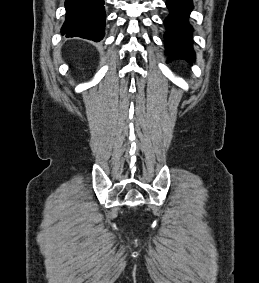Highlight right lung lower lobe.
<instances>
[{
  "label": "right lung lower lobe",
  "instance_id": "obj_1",
  "mask_svg": "<svg viewBox=\"0 0 259 283\" xmlns=\"http://www.w3.org/2000/svg\"><path fill=\"white\" fill-rule=\"evenodd\" d=\"M66 21L61 29L67 37L79 36L95 42L105 35L104 0H66Z\"/></svg>",
  "mask_w": 259,
  "mask_h": 283
}]
</instances>
